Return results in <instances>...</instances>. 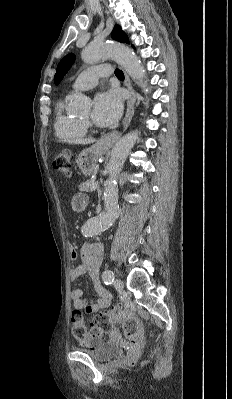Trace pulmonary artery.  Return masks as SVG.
<instances>
[{"instance_id":"e3ab8cb5","label":"pulmonary artery","mask_w":232,"mask_h":399,"mask_svg":"<svg viewBox=\"0 0 232 399\" xmlns=\"http://www.w3.org/2000/svg\"><path fill=\"white\" fill-rule=\"evenodd\" d=\"M96 68H100V65H96ZM102 69H81L80 73H76V77L73 78L75 88H86V90H95V84H101L102 80H106L107 76L110 75L109 65L103 63Z\"/></svg>"}]
</instances>
